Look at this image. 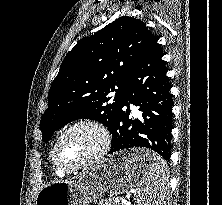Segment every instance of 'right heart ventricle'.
<instances>
[{"instance_id":"e07e8e85","label":"right heart ventricle","mask_w":222,"mask_h":205,"mask_svg":"<svg viewBox=\"0 0 222 205\" xmlns=\"http://www.w3.org/2000/svg\"><path fill=\"white\" fill-rule=\"evenodd\" d=\"M55 172H56V174H57L58 176H62V175L65 174L64 172H62L61 170H59L56 166H55Z\"/></svg>"}]
</instances>
